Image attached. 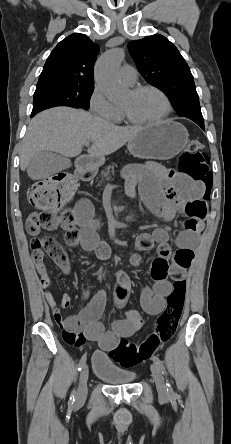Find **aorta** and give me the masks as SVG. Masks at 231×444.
<instances>
[{
  "label": "aorta",
  "mask_w": 231,
  "mask_h": 444,
  "mask_svg": "<svg viewBox=\"0 0 231 444\" xmlns=\"http://www.w3.org/2000/svg\"><path fill=\"white\" fill-rule=\"evenodd\" d=\"M123 59V50L113 48L101 56L96 63V82L104 91L106 97L113 102L120 100L126 92V88L117 77V69Z\"/></svg>",
  "instance_id": "aorta-1"
}]
</instances>
